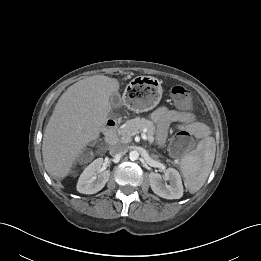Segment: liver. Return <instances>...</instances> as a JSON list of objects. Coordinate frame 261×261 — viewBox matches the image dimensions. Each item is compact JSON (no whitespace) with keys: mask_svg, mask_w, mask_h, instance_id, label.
<instances>
[{"mask_svg":"<svg viewBox=\"0 0 261 261\" xmlns=\"http://www.w3.org/2000/svg\"><path fill=\"white\" fill-rule=\"evenodd\" d=\"M119 88L117 79L96 75L62 94L43 135L42 156L49 175L65 178L79 154L99 137L111 110L110 97Z\"/></svg>","mask_w":261,"mask_h":261,"instance_id":"6515ba94","label":"liver"}]
</instances>
